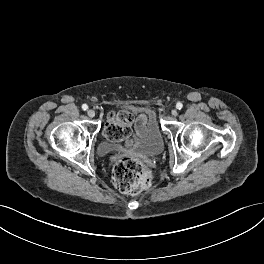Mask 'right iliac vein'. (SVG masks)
<instances>
[{"label":"right iliac vein","mask_w":264,"mask_h":264,"mask_svg":"<svg viewBox=\"0 0 264 264\" xmlns=\"http://www.w3.org/2000/svg\"><path fill=\"white\" fill-rule=\"evenodd\" d=\"M87 115H88L90 118H93V117L95 116V111L92 110V109H89V110L87 111Z\"/></svg>","instance_id":"1"}]
</instances>
